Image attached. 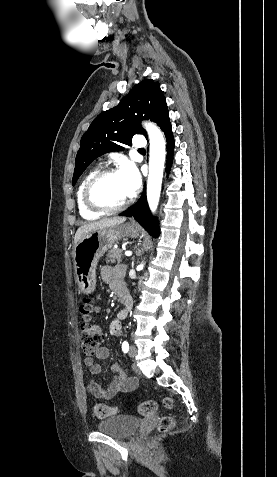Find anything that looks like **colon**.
I'll list each match as a JSON object with an SVG mask.
<instances>
[{"label":"colon","mask_w":277,"mask_h":477,"mask_svg":"<svg viewBox=\"0 0 277 477\" xmlns=\"http://www.w3.org/2000/svg\"><path fill=\"white\" fill-rule=\"evenodd\" d=\"M95 311L96 308L89 299H85L80 306V312L82 315L80 325V340L82 352L86 356H93L103 340V335L99 326L93 321ZM163 405L166 408H172L174 406V401L172 398L167 397L163 400ZM156 410L157 402L154 400L144 401L139 406V412L144 416L152 415L156 412ZM116 413V408L105 404H97L94 406V414L98 418H106ZM174 425L175 419L171 416H165L161 418L158 424V431L165 433L172 429Z\"/></svg>","instance_id":"5ec220e1"}]
</instances>
